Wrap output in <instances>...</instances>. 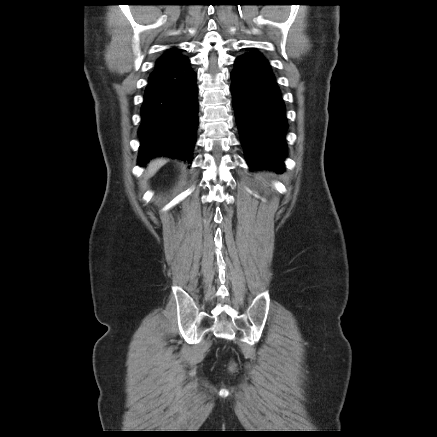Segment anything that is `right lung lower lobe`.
<instances>
[{"label":"right lung lower lobe","instance_id":"98d812e1","mask_svg":"<svg viewBox=\"0 0 437 437\" xmlns=\"http://www.w3.org/2000/svg\"><path fill=\"white\" fill-rule=\"evenodd\" d=\"M196 73L181 56L151 73L141 108L138 164L168 156L192 161L198 127Z\"/></svg>","mask_w":437,"mask_h":437}]
</instances>
